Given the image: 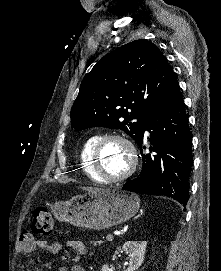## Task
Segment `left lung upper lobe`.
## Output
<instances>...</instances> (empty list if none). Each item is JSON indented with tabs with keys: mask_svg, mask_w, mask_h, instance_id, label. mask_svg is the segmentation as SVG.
I'll list each match as a JSON object with an SVG mask.
<instances>
[{
	"mask_svg": "<svg viewBox=\"0 0 221 271\" xmlns=\"http://www.w3.org/2000/svg\"><path fill=\"white\" fill-rule=\"evenodd\" d=\"M178 88L172 68L155 44L130 42L106 54L85 75L71 109V127L121 129L136 141L147 118Z\"/></svg>",
	"mask_w": 221,
	"mask_h": 271,
	"instance_id": "1",
	"label": "left lung upper lobe"
}]
</instances>
